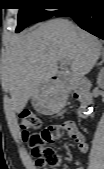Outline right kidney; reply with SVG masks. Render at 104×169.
I'll list each match as a JSON object with an SVG mask.
<instances>
[{"mask_svg":"<svg viewBox=\"0 0 104 169\" xmlns=\"http://www.w3.org/2000/svg\"><path fill=\"white\" fill-rule=\"evenodd\" d=\"M97 83L102 85L104 83V69L102 68L98 74Z\"/></svg>","mask_w":104,"mask_h":169,"instance_id":"1","label":"right kidney"}]
</instances>
